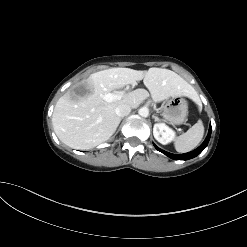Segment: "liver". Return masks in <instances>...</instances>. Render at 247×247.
<instances>
[{"instance_id": "1", "label": "liver", "mask_w": 247, "mask_h": 247, "mask_svg": "<svg viewBox=\"0 0 247 247\" xmlns=\"http://www.w3.org/2000/svg\"><path fill=\"white\" fill-rule=\"evenodd\" d=\"M141 80L155 102L176 96L197 98L193 87L168 69H106L91 74L85 80L89 90L86 95L76 97L73 90H68L59 98L52 115L57 137L75 149H91L107 141L120 123V118L115 113L116 107L128 104L131 108H137L149 97V93L145 89H136L122 99L109 103L104 101L102 96L128 84L135 85Z\"/></svg>"}]
</instances>
